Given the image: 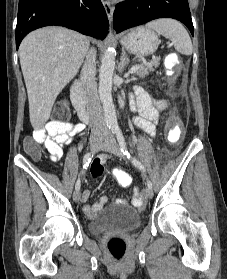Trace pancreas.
I'll return each instance as SVG.
<instances>
[{"label": "pancreas", "instance_id": "1", "mask_svg": "<svg viewBox=\"0 0 227 279\" xmlns=\"http://www.w3.org/2000/svg\"><path fill=\"white\" fill-rule=\"evenodd\" d=\"M159 66V59H154L150 63L146 65H139V68L134 74L138 75L139 77H144L149 74V72L154 71L155 68Z\"/></svg>", "mask_w": 227, "mask_h": 279}]
</instances>
